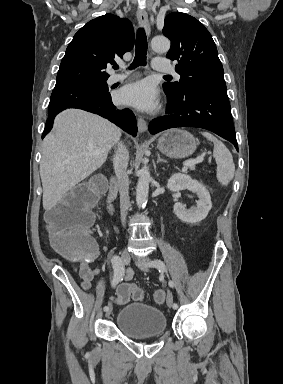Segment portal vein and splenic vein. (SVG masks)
Returning <instances> with one entry per match:
<instances>
[{"mask_svg":"<svg viewBox=\"0 0 283 384\" xmlns=\"http://www.w3.org/2000/svg\"><path fill=\"white\" fill-rule=\"evenodd\" d=\"M203 160V156H199V158H196V160H186V162H183V166L184 168H187V166H195V164H200V162H203Z\"/></svg>","mask_w":283,"mask_h":384,"instance_id":"18ae733b","label":"portal vein and splenic vein"}]
</instances>
